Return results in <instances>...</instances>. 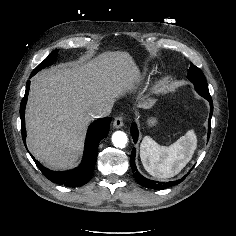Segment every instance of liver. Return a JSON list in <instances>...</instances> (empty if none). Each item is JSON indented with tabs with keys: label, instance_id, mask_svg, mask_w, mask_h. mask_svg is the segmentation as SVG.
I'll use <instances>...</instances> for the list:
<instances>
[{
	"label": "liver",
	"instance_id": "liver-1",
	"mask_svg": "<svg viewBox=\"0 0 236 236\" xmlns=\"http://www.w3.org/2000/svg\"><path fill=\"white\" fill-rule=\"evenodd\" d=\"M139 79L140 72L126 52H104L35 75L26 109L30 152L52 169L74 166L92 121L90 109L101 103L112 106Z\"/></svg>",
	"mask_w": 236,
	"mask_h": 236
}]
</instances>
